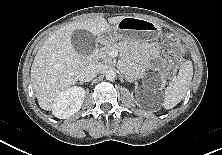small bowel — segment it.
Returning a JSON list of instances; mask_svg holds the SVG:
<instances>
[{"instance_id":"c3829d8e","label":"small bowel","mask_w":222,"mask_h":155,"mask_svg":"<svg viewBox=\"0 0 222 155\" xmlns=\"http://www.w3.org/2000/svg\"><path fill=\"white\" fill-rule=\"evenodd\" d=\"M158 55H159V48L157 44L153 43L149 46V57L148 62L149 65L152 67H156L158 63Z\"/></svg>"}]
</instances>
